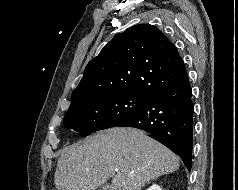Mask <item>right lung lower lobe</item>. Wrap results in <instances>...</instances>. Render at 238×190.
Returning a JSON list of instances; mask_svg holds the SVG:
<instances>
[{
  "mask_svg": "<svg viewBox=\"0 0 238 190\" xmlns=\"http://www.w3.org/2000/svg\"><path fill=\"white\" fill-rule=\"evenodd\" d=\"M188 74L153 96L140 111L114 126H130L145 130L178 154L185 166L192 168L193 103Z\"/></svg>",
  "mask_w": 238,
  "mask_h": 190,
  "instance_id": "1",
  "label": "right lung lower lobe"
}]
</instances>
